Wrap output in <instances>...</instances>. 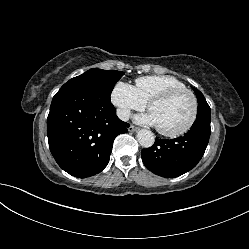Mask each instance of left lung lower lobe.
<instances>
[{"label":"left lung lower lobe","mask_w":249,"mask_h":249,"mask_svg":"<svg viewBox=\"0 0 249 249\" xmlns=\"http://www.w3.org/2000/svg\"><path fill=\"white\" fill-rule=\"evenodd\" d=\"M211 117H197L191 129L175 139H156L143 149L141 157L151 172L162 177H178L193 169L202 158L211 133Z\"/></svg>","instance_id":"left-lung-lower-lobe-1"}]
</instances>
